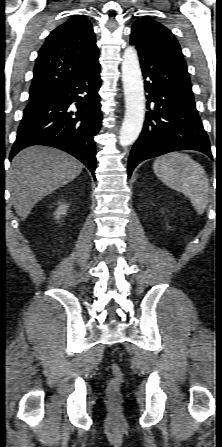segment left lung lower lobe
<instances>
[{"label":"left lung lower lobe","mask_w":222,"mask_h":447,"mask_svg":"<svg viewBox=\"0 0 222 447\" xmlns=\"http://www.w3.org/2000/svg\"><path fill=\"white\" fill-rule=\"evenodd\" d=\"M130 42L138 50L149 94L144 128L128 159V177L140 162L172 151L197 150L212 158L187 68L155 48L133 39Z\"/></svg>","instance_id":"left-lung-lower-lobe-1"}]
</instances>
